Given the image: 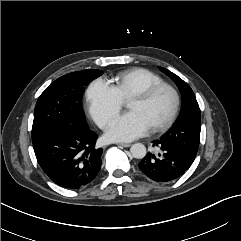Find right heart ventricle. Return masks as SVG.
Listing matches in <instances>:
<instances>
[{"label": "right heart ventricle", "instance_id": "e07e8e85", "mask_svg": "<svg viewBox=\"0 0 241 241\" xmlns=\"http://www.w3.org/2000/svg\"><path fill=\"white\" fill-rule=\"evenodd\" d=\"M161 82L163 79L158 74L144 68H133L120 72L114 78V87L122 100L126 101L145 88Z\"/></svg>", "mask_w": 241, "mask_h": 241}]
</instances>
